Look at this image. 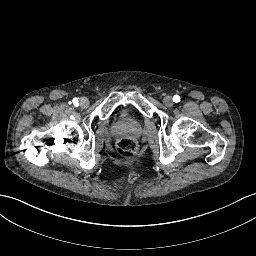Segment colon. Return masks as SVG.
<instances>
[{
    "mask_svg": "<svg viewBox=\"0 0 256 256\" xmlns=\"http://www.w3.org/2000/svg\"><path fill=\"white\" fill-rule=\"evenodd\" d=\"M116 147L121 157L125 159L135 158L138 152V144L131 138L122 137L119 142H117Z\"/></svg>",
    "mask_w": 256,
    "mask_h": 256,
    "instance_id": "colon-1",
    "label": "colon"
}]
</instances>
